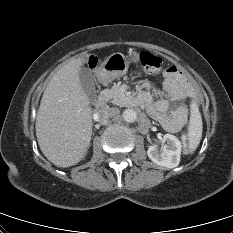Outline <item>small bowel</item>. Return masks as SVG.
<instances>
[{"label":"small bowel","mask_w":233,"mask_h":233,"mask_svg":"<svg viewBox=\"0 0 233 233\" xmlns=\"http://www.w3.org/2000/svg\"><path fill=\"white\" fill-rule=\"evenodd\" d=\"M163 89L167 94L181 105L173 112L167 113L168 102L166 99L154 101L147 92L140 94L139 100L146 104L149 114L157 120L166 130L177 131L187 121L186 99H195L196 93L192 82L183 70L176 66L168 67L164 74Z\"/></svg>","instance_id":"small-bowel-1"}]
</instances>
